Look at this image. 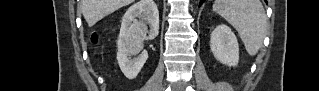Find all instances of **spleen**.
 Segmentation results:
<instances>
[{
	"mask_svg": "<svg viewBox=\"0 0 319 91\" xmlns=\"http://www.w3.org/2000/svg\"><path fill=\"white\" fill-rule=\"evenodd\" d=\"M213 10L238 32L249 55L262 46L267 32V17L259 0H216Z\"/></svg>",
	"mask_w": 319,
	"mask_h": 91,
	"instance_id": "spleen-1",
	"label": "spleen"
}]
</instances>
